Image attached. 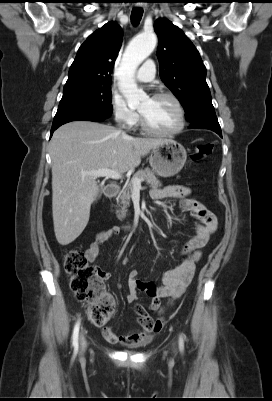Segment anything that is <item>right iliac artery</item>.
Listing matches in <instances>:
<instances>
[{
	"label": "right iliac artery",
	"instance_id": "right-iliac-artery-1",
	"mask_svg": "<svg viewBox=\"0 0 272 401\" xmlns=\"http://www.w3.org/2000/svg\"><path fill=\"white\" fill-rule=\"evenodd\" d=\"M79 328H80V321H77L74 330H73V335H72V344L75 348V351L78 350V335H79Z\"/></svg>",
	"mask_w": 272,
	"mask_h": 401
}]
</instances>
